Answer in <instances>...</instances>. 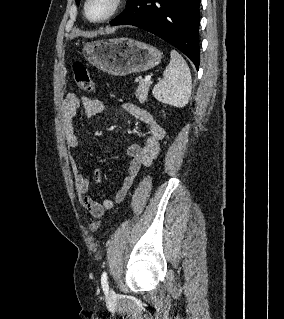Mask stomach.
<instances>
[{
  "label": "stomach",
  "mask_w": 284,
  "mask_h": 319,
  "mask_svg": "<svg viewBox=\"0 0 284 319\" xmlns=\"http://www.w3.org/2000/svg\"><path fill=\"white\" fill-rule=\"evenodd\" d=\"M83 54L91 64L115 76L147 71L162 58L156 47L126 37L86 43Z\"/></svg>",
  "instance_id": "obj_1"
}]
</instances>
